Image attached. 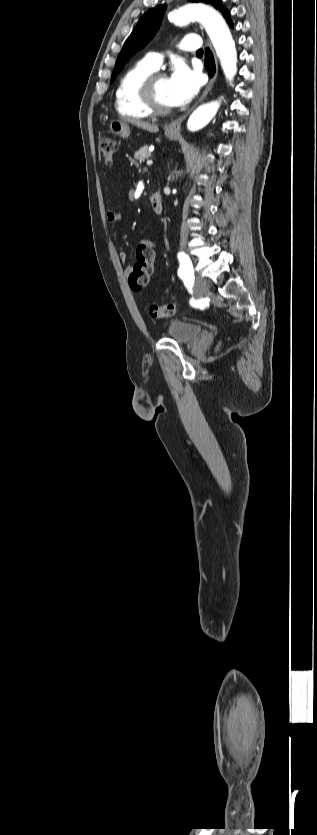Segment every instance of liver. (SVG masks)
<instances>
[{
    "instance_id": "1",
    "label": "liver",
    "mask_w": 317,
    "mask_h": 835,
    "mask_svg": "<svg viewBox=\"0 0 317 835\" xmlns=\"http://www.w3.org/2000/svg\"><path fill=\"white\" fill-rule=\"evenodd\" d=\"M132 123L134 125H136L138 128L146 130V131L151 132V133H157L159 131V128H158L157 125L151 124L149 122L137 120V121H132Z\"/></svg>"
}]
</instances>
